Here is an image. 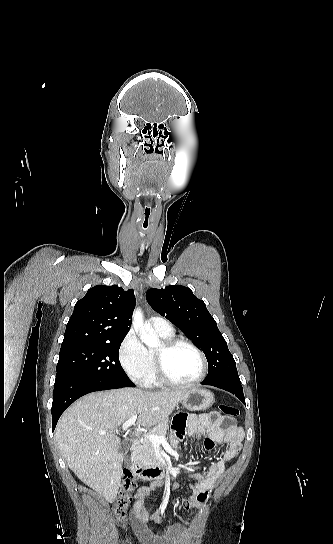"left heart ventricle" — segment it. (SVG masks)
I'll list each match as a JSON object with an SVG mask.
<instances>
[{"label":"left heart ventricle","mask_w":333,"mask_h":544,"mask_svg":"<svg viewBox=\"0 0 333 544\" xmlns=\"http://www.w3.org/2000/svg\"><path fill=\"white\" fill-rule=\"evenodd\" d=\"M160 346L157 351H161ZM165 366L169 376L178 382H189L197 378L202 370L199 355L187 346H179L167 354Z\"/></svg>","instance_id":"b2bd125f"}]
</instances>
